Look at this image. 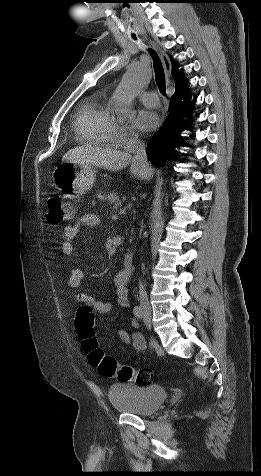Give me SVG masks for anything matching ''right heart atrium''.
<instances>
[{"mask_svg": "<svg viewBox=\"0 0 261 476\" xmlns=\"http://www.w3.org/2000/svg\"><path fill=\"white\" fill-rule=\"evenodd\" d=\"M134 130L127 125H116L114 129V139L117 141H124L129 137L135 136Z\"/></svg>", "mask_w": 261, "mask_h": 476, "instance_id": "d8ad5b80", "label": "right heart atrium"}]
</instances>
